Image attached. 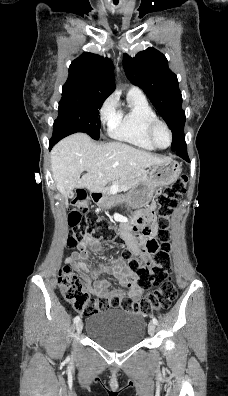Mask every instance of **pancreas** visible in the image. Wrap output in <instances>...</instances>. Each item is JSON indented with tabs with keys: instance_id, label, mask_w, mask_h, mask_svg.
Returning <instances> with one entry per match:
<instances>
[{
	"instance_id": "1",
	"label": "pancreas",
	"mask_w": 228,
	"mask_h": 396,
	"mask_svg": "<svg viewBox=\"0 0 228 396\" xmlns=\"http://www.w3.org/2000/svg\"><path fill=\"white\" fill-rule=\"evenodd\" d=\"M147 177L144 172H136L134 174L121 177L111 183L109 187L105 189L109 194H114L113 188L117 187L118 191H122L124 188H133L140 183L146 181Z\"/></svg>"
}]
</instances>
